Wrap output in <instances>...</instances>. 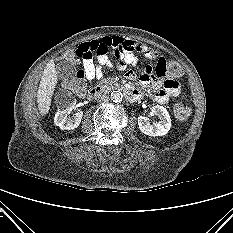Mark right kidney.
<instances>
[{
	"instance_id": "right-kidney-1",
	"label": "right kidney",
	"mask_w": 233,
	"mask_h": 233,
	"mask_svg": "<svg viewBox=\"0 0 233 233\" xmlns=\"http://www.w3.org/2000/svg\"><path fill=\"white\" fill-rule=\"evenodd\" d=\"M75 103L76 101L74 99L65 109H58L54 118V123L56 126H59L63 130H73L79 126L83 116L82 111L75 113L72 117H68V114L72 110Z\"/></svg>"
}]
</instances>
